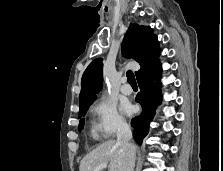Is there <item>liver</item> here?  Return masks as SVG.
Returning a JSON list of instances; mask_svg holds the SVG:
<instances>
[{
    "instance_id": "1",
    "label": "liver",
    "mask_w": 223,
    "mask_h": 171,
    "mask_svg": "<svg viewBox=\"0 0 223 171\" xmlns=\"http://www.w3.org/2000/svg\"><path fill=\"white\" fill-rule=\"evenodd\" d=\"M109 165L108 171H124L125 151L115 140L100 144L80 162L79 171H94L100 164Z\"/></svg>"
}]
</instances>
